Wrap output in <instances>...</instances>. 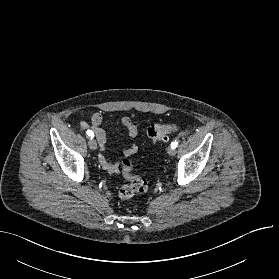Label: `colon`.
<instances>
[{
  "instance_id": "5ec220e1",
  "label": "colon",
  "mask_w": 279,
  "mask_h": 279,
  "mask_svg": "<svg viewBox=\"0 0 279 279\" xmlns=\"http://www.w3.org/2000/svg\"><path fill=\"white\" fill-rule=\"evenodd\" d=\"M178 127L173 124L151 123L147 128V134L154 142L166 141L169 134L176 132ZM122 175L128 181V184L118 189V197L121 200H128L136 193L144 192L148 188L147 181L133 174V166L129 159L122 160Z\"/></svg>"
}]
</instances>
